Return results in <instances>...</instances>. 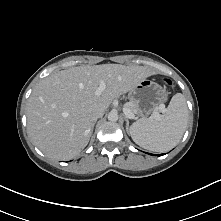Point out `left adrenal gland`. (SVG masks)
Listing matches in <instances>:
<instances>
[{"label":"left adrenal gland","mask_w":221,"mask_h":221,"mask_svg":"<svg viewBox=\"0 0 221 221\" xmlns=\"http://www.w3.org/2000/svg\"><path fill=\"white\" fill-rule=\"evenodd\" d=\"M125 121H126V131L129 133V120L127 117H125Z\"/></svg>","instance_id":"a2214340"}]
</instances>
